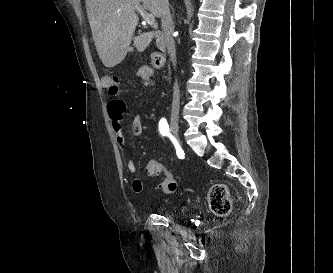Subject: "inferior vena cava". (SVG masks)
Instances as JSON below:
<instances>
[{"label": "inferior vena cava", "mask_w": 333, "mask_h": 273, "mask_svg": "<svg viewBox=\"0 0 333 273\" xmlns=\"http://www.w3.org/2000/svg\"><path fill=\"white\" fill-rule=\"evenodd\" d=\"M159 7L161 13V24L164 41L166 43L167 51L173 66H176V48L173 39L174 23L169 10L168 0H159ZM180 108V91L177 80L173 86V101L172 112L178 113Z\"/></svg>", "instance_id": "602c4592"}]
</instances>
